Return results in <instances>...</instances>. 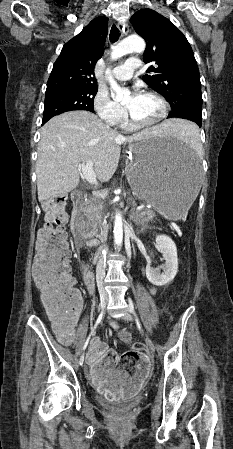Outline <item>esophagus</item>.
Returning a JSON list of instances; mask_svg holds the SVG:
<instances>
[{"label": "esophagus", "instance_id": "esophagus-1", "mask_svg": "<svg viewBox=\"0 0 233 449\" xmlns=\"http://www.w3.org/2000/svg\"><path fill=\"white\" fill-rule=\"evenodd\" d=\"M118 29L122 32V33H128L129 31V26L126 22H118L117 24Z\"/></svg>", "mask_w": 233, "mask_h": 449}]
</instances>
